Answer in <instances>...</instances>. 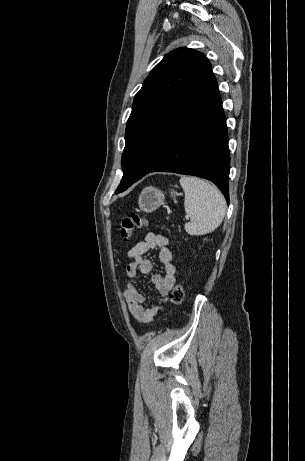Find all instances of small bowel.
<instances>
[{
  "label": "small bowel",
  "instance_id": "c3829d8e",
  "mask_svg": "<svg viewBox=\"0 0 305 461\" xmlns=\"http://www.w3.org/2000/svg\"><path fill=\"white\" fill-rule=\"evenodd\" d=\"M156 248L160 249L159 260L164 273L152 276L151 280L158 290L159 297L156 305L147 307L144 305L145 297L138 290L135 279L139 274L146 275L151 272L152 262L145 255ZM127 257L130 259L126 267L129 280L125 284L123 295L128 312L137 322L147 323L165 308L169 291L176 281V267L172 261L169 239L160 233H148L143 241L138 242L127 252Z\"/></svg>",
  "mask_w": 305,
  "mask_h": 461
}]
</instances>
